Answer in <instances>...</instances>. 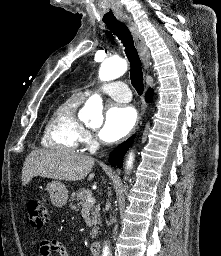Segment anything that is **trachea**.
I'll use <instances>...</instances> for the list:
<instances>
[{
  "instance_id": "3493384b",
  "label": "trachea",
  "mask_w": 221,
  "mask_h": 256,
  "mask_svg": "<svg viewBox=\"0 0 221 256\" xmlns=\"http://www.w3.org/2000/svg\"><path fill=\"white\" fill-rule=\"evenodd\" d=\"M107 27L121 40L125 47L126 56L130 62V79L131 84L139 95L144 90L143 72L141 61L137 50L134 47L133 38L130 31L122 22L115 20L106 23Z\"/></svg>"
}]
</instances>
